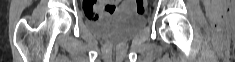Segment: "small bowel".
<instances>
[{
	"mask_svg": "<svg viewBox=\"0 0 235 62\" xmlns=\"http://www.w3.org/2000/svg\"><path fill=\"white\" fill-rule=\"evenodd\" d=\"M130 4L131 3L129 2H125L123 5H130ZM101 5L106 8V15L113 13L117 9V2H112V1L103 2ZM90 6H96V3L93 2L86 3L85 8H88Z\"/></svg>",
	"mask_w": 235,
	"mask_h": 62,
	"instance_id": "obj_1",
	"label": "small bowel"
}]
</instances>
